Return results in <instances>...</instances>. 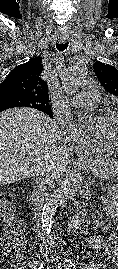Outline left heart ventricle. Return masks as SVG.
I'll return each instance as SVG.
<instances>
[{"label": "left heart ventricle", "mask_w": 118, "mask_h": 269, "mask_svg": "<svg viewBox=\"0 0 118 269\" xmlns=\"http://www.w3.org/2000/svg\"><path fill=\"white\" fill-rule=\"evenodd\" d=\"M93 133L118 143V114L111 117H99L95 120Z\"/></svg>", "instance_id": "left-heart-ventricle-1"}]
</instances>
